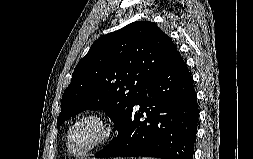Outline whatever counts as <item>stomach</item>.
Here are the masks:
<instances>
[{
    "label": "stomach",
    "mask_w": 253,
    "mask_h": 159,
    "mask_svg": "<svg viewBox=\"0 0 253 159\" xmlns=\"http://www.w3.org/2000/svg\"><path fill=\"white\" fill-rule=\"evenodd\" d=\"M114 159H124V158H114Z\"/></svg>",
    "instance_id": "stomach-1"
}]
</instances>
